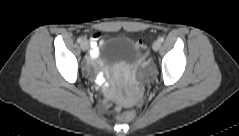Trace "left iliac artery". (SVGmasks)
<instances>
[{"instance_id": "left-iliac-artery-1", "label": "left iliac artery", "mask_w": 239, "mask_h": 136, "mask_svg": "<svg viewBox=\"0 0 239 136\" xmlns=\"http://www.w3.org/2000/svg\"><path fill=\"white\" fill-rule=\"evenodd\" d=\"M159 41H160V42H163V41H164V38H163V37H160V38H159Z\"/></svg>"}]
</instances>
